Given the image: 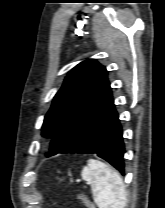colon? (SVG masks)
<instances>
[{
	"label": "colon",
	"instance_id": "colon-1",
	"mask_svg": "<svg viewBox=\"0 0 165 208\" xmlns=\"http://www.w3.org/2000/svg\"><path fill=\"white\" fill-rule=\"evenodd\" d=\"M61 182H64L59 178ZM79 200H81L87 208H95L94 205L88 200V198L81 192L75 191Z\"/></svg>",
	"mask_w": 165,
	"mask_h": 208
}]
</instances>
